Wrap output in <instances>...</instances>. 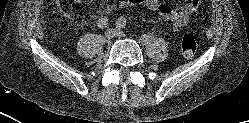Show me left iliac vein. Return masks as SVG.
Masks as SVG:
<instances>
[{"mask_svg": "<svg viewBox=\"0 0 249 123\" xmlns=\"http://www.w3.org/2000/svg\"><path fill=\"white\" fill-rule=\"evenodd\" d=\"M114 32H115V36H118V37H124L125 36L124 32L121 31L120 29H115Z\"/></svg>", "mask_w": 249, "mask_h": 123, "instance_id": "obj_1", "label": "left iliac vein"}]
</instances>
